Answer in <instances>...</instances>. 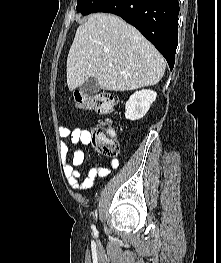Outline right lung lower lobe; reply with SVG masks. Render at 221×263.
<instances>
[{
    "label": "right lung lower lobe",
    "instance_id": "1",
    "mask_svg": "<svg viewBox=\"0 0 221 263\" xmlns=\"http://www.w3.org/2000/svg\"><path fill=\"white\" fill-rule=\"evenodd\" d=\"M96 12L113 13L136 27L173 69L178 45V0H105Z\"/></svg>",
    "mask_w": 221,
    "mask_h": 263
}]
</instances>
